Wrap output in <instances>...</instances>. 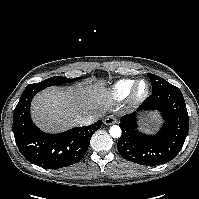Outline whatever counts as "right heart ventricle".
I'll return each instance as SVG.
<instances>
[{"label": "right heart ventricle", "mask_w": 199, "mask_h": 199, "mask_svg": "<svg viewBox=\"0 0 199 199\" xmlns=\"http://www.w3.org/2000/svg\"><path fill=\"white\" fill-rule=\"evenodd\" d=\"M134 80L122 79L115 82L107 91L106 97L110 102H119L129 96Z\"/></svg>", "instance_id": "obj_1"}]
</instances>
